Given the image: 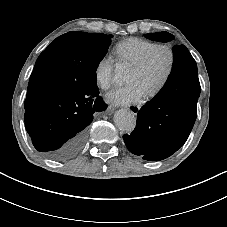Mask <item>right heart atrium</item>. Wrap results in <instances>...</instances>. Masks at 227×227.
<instances>
[{
  "mask_svg": "<svg viewBox=\"0 0 227 227\" xmlns=\"http://www.w3.org/2000/svg\"><path fill=\"white\" fill-rule=\"evenodd\" d=\"M114 63L111 57L104 56L96 64L94 69V79L97 87L107 90L113 82Z\"/></svg>",
  "mask_w": 227,
  "mask_h": 227,
  "instance_id": "1",
  "label": "right heart atrium"
}]
</instances>
